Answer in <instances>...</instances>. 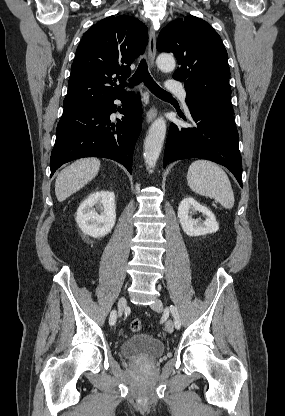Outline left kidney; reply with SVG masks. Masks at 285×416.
Here are the masks:
<instances>
[{"label":"left kidney","instance_id":"1","mask_svg":"<svg viewBox=\"0 0 285 416\" xmlns=\"http://www.w3.org/2000/svg\"><path fill=\"white\" fill-rule=\"evenodd\" d=\"M202 212L205 216L204 222L201 220H193L192 214ZM178 218L181 228L187 236H206V234H215L219 230V224L213 212H210L206 206H201L193 198H184L179 204Z\"/></svg>","mask_w":285,"mask_h":416}]
</instances>
